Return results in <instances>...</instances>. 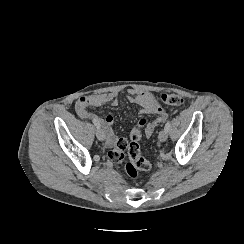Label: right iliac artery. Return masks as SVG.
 <instances>
[{
    "label": "right iliac artery",
    "instance_id": "right-iliac-artery-1",
    "mask_svg": "<svg viewBox=\"0 0 244 244\" xmlns=\"http://www.w3.org/2000/svg\"><path fill=\"white\" fill-rule=\"evenodd\" d=\"M93 123L97 128H100V123L97 119H93Z\"/></svg>",
    "mask_w": 244,
    "mask_h": 244
}]
</instances>
